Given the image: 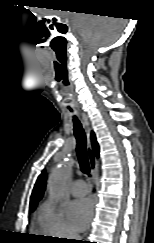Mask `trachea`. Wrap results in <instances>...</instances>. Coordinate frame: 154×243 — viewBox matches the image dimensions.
<instances>
[{"mask_svg": "<svg viewBox=\"0 0 154 243\" xmlns=\"http://www.w3.org/2000/svg\"><path fill=\"white\" fill-rule=\"evenodd\" d=\"M70 111L72 112V109H70ZM73 122H74V135L77 140L76 151L79 159L80 168L83 173L89 175L90 165H89L87 152H86V135L80 121L76 116H73Z\"/></svg>", "mask_w": 154, "mask_h": 243, "instance_id": "trachea-1", "label": "trachea"}]
</instances>
